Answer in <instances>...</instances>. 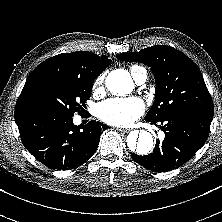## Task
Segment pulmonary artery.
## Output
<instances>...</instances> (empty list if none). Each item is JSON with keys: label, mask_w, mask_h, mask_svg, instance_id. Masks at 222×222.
I'll return each mask as SVG.
<instances>
[{"label": "pulmonary artery", "mask_w": 222, "mask_h": 222, "mask_svg": "<svg viewBox=\"0 0 222 222\" xmlns=\"http://www.w3.org/2000/svg\"><path fill=\"white\" fill-rule=\"evenodd\" d=\"M147 79V71H143L135 80L139 84H143Z\"/></svg>", "instance_id": "1"}]
</instances>
